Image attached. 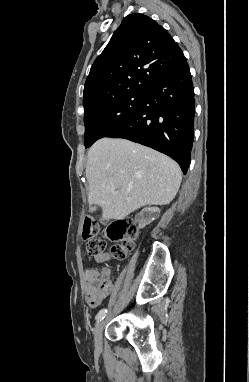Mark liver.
Returning <instances> with one entry per match:
<instances>
[{"instance_id": "1", "label": "liver", "mask_w": 249, "mask_h": 382, "mask_svg": "<svg viewBox=\"0 0 249 382\" xmlns=\"http://www.w3.org/2000/svg\"><path fill=\"white\" fill-rule=\"evenodd\" d=\"M86 178L88 203L99 205L105 219H123L145 205L169 204L182 175L162 153L127 139L102 138L88 151Z\"/></svg>"}]
</instances>
